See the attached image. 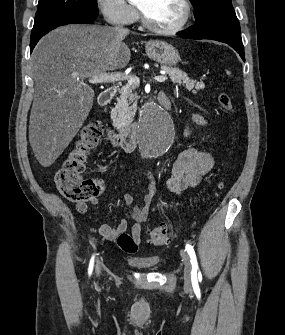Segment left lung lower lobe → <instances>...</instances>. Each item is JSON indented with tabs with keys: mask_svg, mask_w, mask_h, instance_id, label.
<instances>
[{
	"mask_svg": "<svg viewBox=\"0 0 285 335\" xmlns=\"http://www.w3.org/2000/svg\"><path fill=\"white\" fill-rule=\"evenodd\" d=\"M181 33H184L181 37L186 39H211L227 43L245 61L240 24L234 10L212 11L198 19L197 23L191 28Z\"/></svg>",
	"mask_w": 285,
	"mask_h": 335,
	"instance_id": "obj_1",
	"label": "left lung lower lobe"
}]
</instances>
